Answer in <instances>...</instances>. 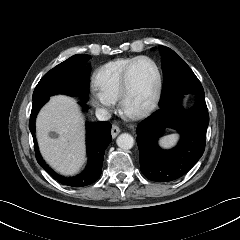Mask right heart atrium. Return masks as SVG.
<instances>
[{"mask_svg": "<svg viewBox=\"0 0 240 240\" xmlns=\"http://www.w3.org/2000/svg\"><path fill=\"white\" fill-rule=\"evenodd\" d=\"M90 94L92 102L97 108L109 111L114 106L115 100L104 94L97 85L91 86Z\"/></svg>", "mask_w": 240, "mask_h": 240, "instance_id": "d8ad5b80", "label": "right heart atrium"}]
</instances>
